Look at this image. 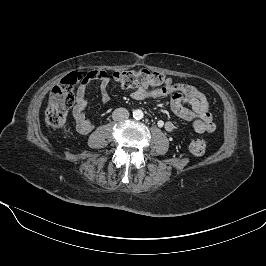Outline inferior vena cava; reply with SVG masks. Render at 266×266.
Returning a JSON list of instances; mask_svg holds the SVG:
<instances>
[{"instance_id":"obj_1","label":"inferior vena cava","mask_w":266,"mask_h":266,"mask_svg":"<svg viewBox=\"0 0 266 266\" xmlns=\"http://www.w3.org/2000/svg\"><path fill=\"white\" fill-rule=\"evenodd\" d=\"M129 112L125 108H117L112 113V118L115 121L125 120L128 119Z\"/></svg>"}]
</instances>
